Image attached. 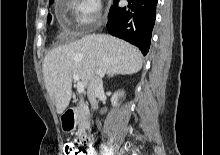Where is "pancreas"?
Instances as JSON below:
<instances>
[{"instance_id": "1", "label": "pancreas", "mask_w": 220, "mask_h": 155, "mask_svg": "<svg viewBox=\"0 0 220 155\" xmlns=\"http://www.w3.org/2000/svg\"><path fill=\"white\" fill-rule=\"evenodd\" d=\"M77 123L79 124V131L83 130L84 128L88 127L89 121L85 114V111L82 107L79 108V114L77 116Z\"/></svg>"}]
</instances>
